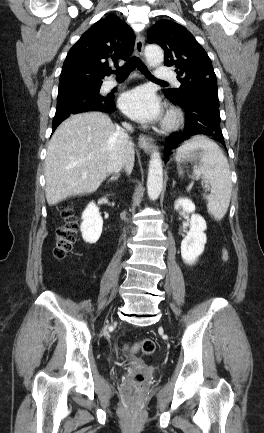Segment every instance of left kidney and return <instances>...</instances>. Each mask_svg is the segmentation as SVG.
<instances>
[{
    "label": "left kidney",
    "instance_id": "1",
    "mask_svg": "<svg viewBox=\"0 0 264 433\" xmlns=\"http://www.w3.org/2000/svg\"><path fill=\"white\" fill-rule=\"evenodd\" d=\"M182 209L191 214L190 230L181 242V256L188 265L195 264L197 258L203 253L207 241L204 231L207 229L202 216L195 214V204L188 198H179L175 202V209Z\"/></svg>",
    "mask_w": 264,
    "mask_h": 433
}]
</instances>
